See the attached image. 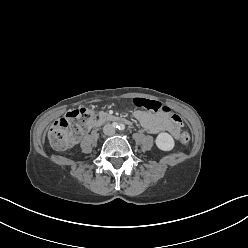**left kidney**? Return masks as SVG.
I'll list each match as a JSON object with an SVG mask.
<instances>
[{
	"label": "left kidney",
	"instance_id": "5707ae66",
	"mask_svg": "<svg viewBox=\"0 0 248 248\" xmlns=\"http://www.w3.org/2000/svg\"><path fill=\"white\" fill-rule=\"evenodd\" d=\"M155 142L157 147L162 151H170L174 148L175 145L173 137L166 132L160 133L157 136Z\"/></svg>",
	"mask_w": 248,
	"mask_h": 248
}]
</instances>
